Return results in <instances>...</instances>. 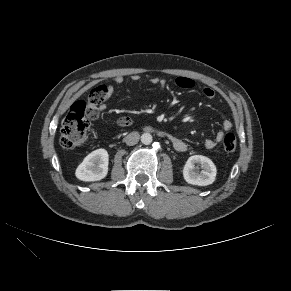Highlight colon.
Segmentation results:
<instances>
[{
	"mask_svg": "<svg viewBox=\"0 0 291 291\" xmlns=\"http://www.w3.org/2000/svg\"><path fill=\"white\" fill-rule=\"evenodd\" d=\"M101 89H93L89 95V101H76L69 109L62 122L60 143L64 149L70 150L82 144L88 134L90 127V107L99 102ZM121 123L128 126L130 118H121ZM223 148L227 153H234L237 147L236 138L230 132L224 133Z\"/></svg>",
	"mask_w": 291,
	"mask_h": 291,
	"instance_id": "obj_1",
	"label": "colon"
}]
</instances>
